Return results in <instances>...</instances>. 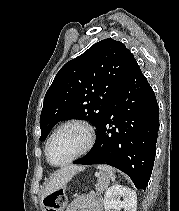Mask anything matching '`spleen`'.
<instances>
[{"instance_id": "3e777b00", "label": "spleen", "mask_w": 179, "mask_h": 211, "mask_svg": "<svg viewBox=\"0 0 179 211\" xmlns=\"http://www.w3.org/2000/svg\"><path fill=\"white\" fill-rule=\"evenodd\" d=\"M100 170L106 172L109 176V178L114 182L115 181V175H114V169L109 166H99Z\"/></svg>"}]
</instances>
